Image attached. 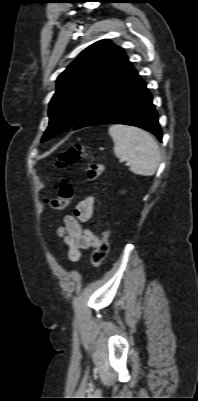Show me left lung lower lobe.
<instances>
[{
	"instance_id": "0a47b994",
	"label": "left lung lower lobe",
	"mask_w": 198,
	"mask_h": 401,
	"mask_svg": "<svg viewBox=\"0 0 198 401\" xmlns=\"http://www.w3.org/2000/svg\"><path fill=\"white\" fill-rule=\"evenodd\" d=\"M101 124L137 126L162 140L152 96L129 60L91 101L73 129Z\"/></svg>"
}]
</instances>
